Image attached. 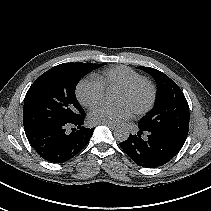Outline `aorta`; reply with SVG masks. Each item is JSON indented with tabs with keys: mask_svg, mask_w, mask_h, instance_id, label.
Listing matches in <instances>:
<instances>
[{
	"mask_svg": "<svg viewBox=\"0 0 211 211\" xmlns=\"http://www.w3.org/2000/svg\"><path fill=\"white\" fill-rule=\"evenodd\" d=\"M106 99L107 100H111L112 99V97H111V95L109 93H107ZM114 137H115V139L117 141H120V142L125 141L129 137V131H128V129L126 127H119L117 129H115Z\"/></svg>",
	"mask_w": 211,
	"mask_h": 211,
	"instance_id": "aorta-1",
	"label": "aorta"
}]
</instances>
